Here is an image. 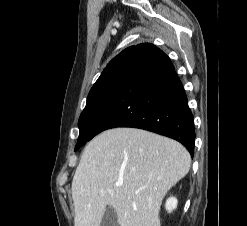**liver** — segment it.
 <instances>
[{
  "mask_svg": "<svg viewBox=\"0 0 247 226\" xmlns=\"http://www.w3.org/2000/svg\"><path fill=\"white\" fill-rule=\"evenodd\" d=\"M190 166L177 141L135 128L104 131L85 147L73 177L74 226H100L107 206L120 226H161L162 200Z\"/></svg>",
  "mask_w": 247,
  "mask_h": 226,
  "instance_id": "1",
  "label": "liver"
}]
</instances>
